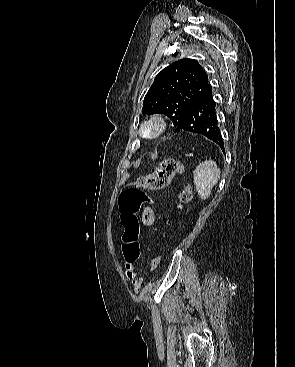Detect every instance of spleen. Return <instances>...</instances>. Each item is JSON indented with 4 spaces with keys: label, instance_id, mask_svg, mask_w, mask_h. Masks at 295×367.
<instances>
[{
    "label": "spleen",
    "instance_id": "3e777b00",
    "mask_svg": "<svg viewBox=\"0 0 295 367\" xmlns=\"http://www.w3.org/2000/svg\"><path fill=\"white\" fill-rule=\"evenodd\" d=\"M219 179L220 169L214 161L206 160L199 163L194 171V183L202 200L209 198L213 186Z\"/></svg>",
    "mask_w": 295,
    "mask_h": 367
}]
</instances>
